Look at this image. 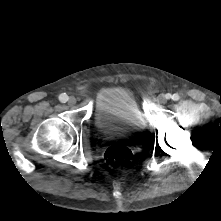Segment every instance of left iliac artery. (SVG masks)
I'll return each mask as SVG.
<instances>
[{"label": "left iliac artery", "instance_id": "left-iliac-artery-1", "mask_svg": "<svg viewBox=\"0 0 221 221\" xmlns=\"http://www.w3.org/2000/svg\"><path fill=\"white\" fill-rule=\"evenodd\" d=\"M167 98H172L174 101L179 100V95L178 94H173V96H171L170 94H166Z\"/></svg>", "mask_w": 221, "mask_h": 221}]
</instances>
